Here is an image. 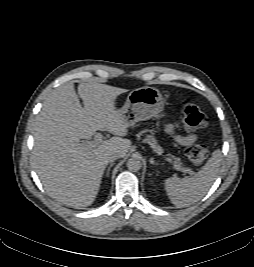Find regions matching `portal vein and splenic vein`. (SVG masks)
<instances>
[{
  "label": "portal vein and splenic vein",
  "instance_id": "18ae733b",
  "mask_svg": "<svg viewBox=\"0 0 254 267\" xmlns=\"http://www.w3.org/2000/svg\"><path fill=\"white\" fill-rule=\"evenodd\" d=\"M102 141H103V135L101 133H96L93 141H85L82 144L84 146L90 147V146H96L100 144ZM168 161L170 164L173 165V168L176 169L177 171L191 172L189 169L182 168L179 164L173 162L171 159H169Z\"/></svg>",
  "mask_w": 254,
  "mask_h": 267
}]
</instances>
